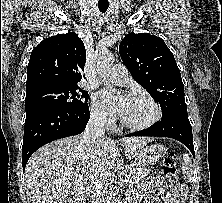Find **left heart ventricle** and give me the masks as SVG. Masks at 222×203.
I'll list each match as a JSON object with an SVG mask.
<instances>
[{
  "label": "left heart ventricle",
  "mask_w": 222,
  "mask_h": 203,
  "mask_svg": "<svg viewBox=\"0 0 222 203\" xmlns=\"http://www.w3.org/2000/svg\"><path fill=\"white\" fill-rule=\"evenodd\" d=\"M155 115L152 104L142 97L128 96L121 116L133 124H142L151 120Z\"/></svg>",
  "instance_id": "left-heart-ventricle-1"
}]
</instances>
